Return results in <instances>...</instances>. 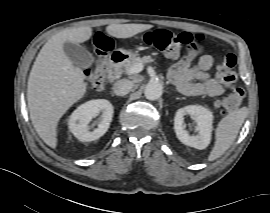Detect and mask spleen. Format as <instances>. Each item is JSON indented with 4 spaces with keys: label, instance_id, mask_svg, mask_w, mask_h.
<instances>
[{
    "label": "spleen",
    "instance_id": "spleen-1",
    "mask_svg": "<svg viewBox=\"0 0 270 213\" xmlns=\"http://www.w3.org/2000/svg\"><path fill=\"white\" fill-rule=\"evenodd\" d=\"M246 116V108H241L229 113L218 123L215 130V144L208 156V161L216 160L230 148Z\"/></svg>",
    "mask_w": 270,
    "mask_h": 213
}]
</instances>
